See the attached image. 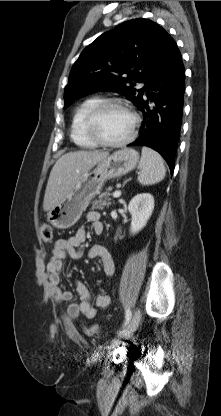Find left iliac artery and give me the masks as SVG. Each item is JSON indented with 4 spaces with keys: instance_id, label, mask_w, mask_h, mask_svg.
Instances as JSON below:
<instances>
[{
    "instance_id": "obj_1",
    "label": "left iliac artery",
    "mask_w": 221,
    "mask_h": 416,
    "mask_svg": "<svg viewBox=\"0 0 221 416\" xmlns=\"http://www.w3.org/2000/svg\"><path fill=\"white\" fill-rule=\"evenodd\" d=\"M131 317H132V313H131L130 309L128 308V309H126L124 326H126L129 323V321L131 320Z\"/></svg>"
}]
</instances>
